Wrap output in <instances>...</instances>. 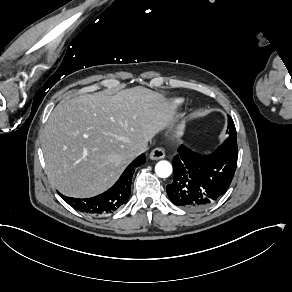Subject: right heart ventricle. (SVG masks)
I'll list each match as a JSON object with an SVG mask.
<instances>
[{
  "label": "right heart ventricle",
  "mask_w": 292,
  "mask_h": 292,
  "mask_svg": "<svg viewBox=\"0 0 292 292\" xmlns=\"http://www.w3.org/2000/svg\"><path fill=\"white\" fill-rule=\"evenodd\" d=\"M181 104H182V101H180V100L174 101V106H179Z\"/></svg>",
  "instance_id": "right-heart-ventricle-1"
}]
</instances>
